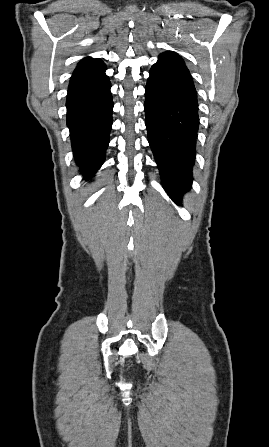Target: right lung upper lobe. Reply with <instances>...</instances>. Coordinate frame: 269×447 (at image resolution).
<instances>
[{
	"mask_svg": "<svg viewBox=\"0 0 269 447\" xmlns=\"http://www.w3.org/2000/svg\"><path fill=\"white\" fill-rule=\"evenodd\" d=\"M98 61H100V60L99 59H93V58H90V57H86L79 63L78 66H81V65H84V64H89V63H94V62H98Z\"/></svg>",
	"mask_w": 269,
	"mask_h": 447,
	"instance_id": "right-lung-upper-lobe-1",
	"label": "right lung upper lobe"
}]
</instances>
